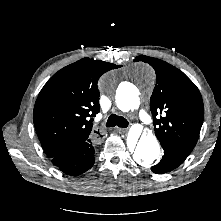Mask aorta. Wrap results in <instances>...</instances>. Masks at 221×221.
Here are the masks:
<instances>
[{
  "instance_id": "762f6f07",
  "label": "aorta",
  "mask_w": 221,
  "mask_h": 221,
  "mask_svg": "<svg viewBox=\"0 0 221 221\" xmlns=\"http://www.w3.org/2000/svg\"><path fill=\"white\" fill-rule=\"evenodd\" d=\"M135 71L147 80H154L155 73L151 66L145 63H139L135 66ZM113 85V80L106 77L102 80V87L105 91H109ZM117 107L123 111H132L139 107L140 100L135 87L129 86L123 90H117L115 98ZM160 156V145L156 137L149 133L142 134L138 140L137 146L133 153L134 160L142 166H150Z\"/></svg>"
}]
</instances>
